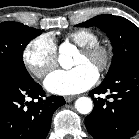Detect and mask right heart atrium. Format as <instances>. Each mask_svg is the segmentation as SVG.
Wrapping results in <instances>:
<instances>
[{"instance_id": "right-heart-atrium-1", "label": "right heart atrium", "mask_w": 139, "mask_h": 139, "mask_svg": "<svg viewBox=\"0 0 139 139\" xmlns=\"http://www.w3.org/2000/svg\"><path fill=\"white\" fill-rule=\"evenodd\" d=\"M22 58L29 72L43 78L57 65L56 43L50 35H40L25 46Z\"/></svg>"}]
</instances>
